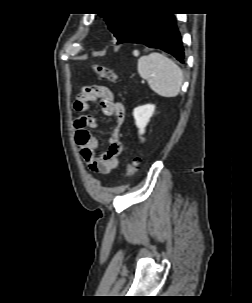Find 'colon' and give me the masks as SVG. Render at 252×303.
<instances>
[{"instance_id": "5ec220e1", "label": "colon", "mask_w": 252, "mask_h": 303, "mask_svg": "<svg viewBox=\"0 0 252 303\" xmlns=\"http://www.w3.org/2000/svg\"><path fill=\"white\" fill-rule=\"evenodd\" d=\"M92 69L96 74H98L100 77L110 81L117 83L119 82V77L117 73L112 70L111 68H108L103 65L95 64L92 66ZM138 170V163L135 160H131L126 164V177H132L137 173Z\"/></svg>"}]
</instances>
